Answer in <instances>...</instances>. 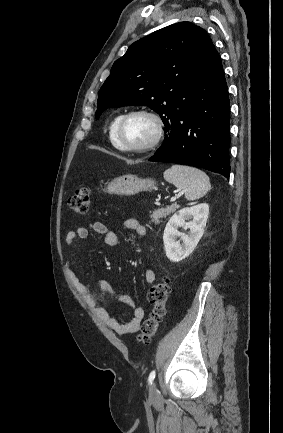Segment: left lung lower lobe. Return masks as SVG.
<instances>
[{"label":"left lung lower lobe","instance_id":"0a47b994","mask_svg":"<svg viewBox=\"0 0 283 433\" xmlns=\"http://www.w3.org/2000/svg\"><path fill=\"white\" fill-rule=\"evenodd\" d=\"M191 97V107L165 126V140L149 161L204 168L229 179L230 102L215 48L192 83Z\"/></svg>","mask_w":283,"mask_h":433}]
</instances>
